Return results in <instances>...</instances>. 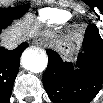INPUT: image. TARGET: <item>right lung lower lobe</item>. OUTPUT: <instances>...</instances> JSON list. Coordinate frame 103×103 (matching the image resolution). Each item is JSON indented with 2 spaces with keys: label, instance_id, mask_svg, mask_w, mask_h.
Masks as SVG:
<instances>
[{
  "label": "right lung lower lobe",
  "instance_id": "obj_1",
  "mask_svg": "<svg viewBox=\"0 0 103 103\" xmlns=\"http://www.w3.org/2000/svg\"><path fill=\"white\" fill-rule=\"evenodd\" d=\"M12 21H0V31ZM28 47L24 42L14 50L0 47V99L8 101L12 93L14 80L19 70L21 53Z\"/></svg>",
  "mask_w": 103,
  "mask_h": 103
}]
</instances>
